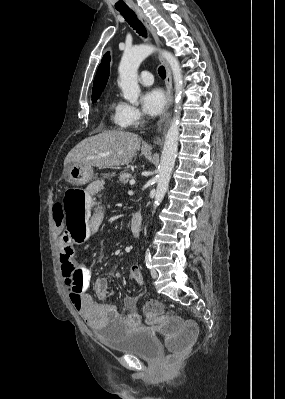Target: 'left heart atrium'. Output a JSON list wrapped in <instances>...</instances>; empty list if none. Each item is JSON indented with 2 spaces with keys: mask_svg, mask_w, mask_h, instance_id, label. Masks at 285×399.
Listing matches in <instances>:
<instances>
[{
  "mask_svg": "<svg viewBox=\"0 0 285 399\" xmlns=\"http://www.w3.org/2000/svg\"><path fill=\"white\" fill-rule=\"evenodd\" d=\"M144 111L150 116H157L162 113L166 105V97L160 89H150L142 96Z\"/></svg>",
  "mask_w": 285,
  "mask_h": 399,
  "instance_id": "left-heart-atrium-1",
  "label": "left heart atrium"
}]
</instances>
